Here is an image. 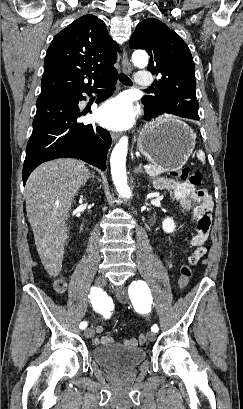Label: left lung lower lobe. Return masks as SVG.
Returning a JSON list of instances; mask_svg holds the SVG:
<instances>
[{
    "instance_id": "left-lung-lower-lobe-1",
    "label": "left lung lower lobe",
    "mask_w": 243,
    "mask_h": 409,
    "mask_svg": "<svg viewBox=\"0 0 243 409\" xmlns=\"http://www.w3.org/2000/svg\"><path fill=\"white\" fill-rule=\"evenodd\" d=\"M174 114L180 117L199 120L198 110L193 108L191 104H181L177 106H168L166 109L152 111L145 108V120L150 121L161 114Z\"/></svg>"
}]
</instances>
